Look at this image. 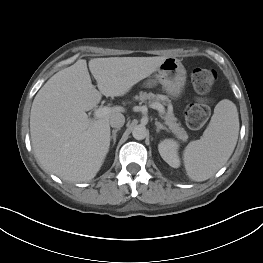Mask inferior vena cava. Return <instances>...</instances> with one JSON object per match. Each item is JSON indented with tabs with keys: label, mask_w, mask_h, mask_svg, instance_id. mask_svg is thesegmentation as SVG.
<instances>
[{
	"label": "inferior vena cava",
	"mask_w": 263,
	"mask_h": 263,
	"mask_svg": "<svg viewBox=\"0 0 263 263\" xmlns=\"http://www.w3.org/2000/svg\"><path fill=\"white\" fill-rule=\"evenodd\" d=\"M109 123L113 128H121L125 123V117L121 113H115L110 117Z\"/></svg>",
	"instance_id": "obj_1"
}]
</instances>
